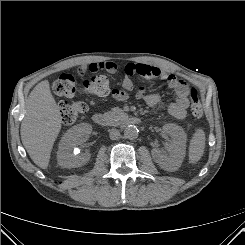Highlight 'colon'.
<instances>
[{
    "label": "colon",
    "instance_id": "colon-1",
    "mask_svg": "<svg viewBox=\"0 0 245 245\" xmlns=\"http://www.w3.org/2000/svg\"><path fill=\"white\" fill-rule=\"evenodd\" d=\"M53 90L56 95L64 98L60 103V115L64 124L74 123L80 115L86 112L87 106L80 101L69 100L76 91V79L72 74H62L54 82ZM82 90L88 95L104 96L110 92V81L105 75H97L83 82ZM192 102V114L195 118L202 117L203 110L201 107L199 92L196 87L190 91Z\"/></svg>",
    "mask_w": 245,
    "mask_h": 245
}]
</instances>
